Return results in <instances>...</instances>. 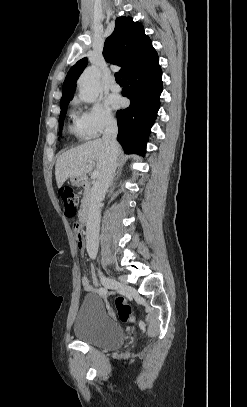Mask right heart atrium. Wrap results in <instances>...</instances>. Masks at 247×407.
<instances>
[{
  "mask_svg": "<svg viewBox=\"0 0 247 407\" xmlns=\"http://www.w3.org/2000/svg\"><path fill=\"white\" fill-rule=\"evenodd\" d=\"M76 122L84 138L92 139L111 128L115 124V119L103 104L95 101L85 109L77 111Z\"/></svg>",
  "mask_w": 247,
  "mask_h": 407,
  "instance_id": "obj_1",
  "label": "right heart atrium"
}]
</instances>
